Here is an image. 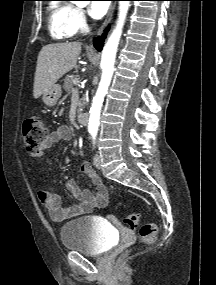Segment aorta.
<instances>
[{
    "instance_id": "762f6f07",
    "label": "aorta",
    "mask_w": 216,
    "mask_h": 285,
    "mask_svg": "<svg viewBox=\"0 0 216 285\" xmlns=\"http://www.w3.org/2000/svg\"><path fill=\"white\" fill-rule=\"evenodd\" d=\"M76 3L84 4L85 2L77 1ZM129 7L130 1L119 2V13L116 27L108 38V41L106 42L102 51V76L96 95L93 98L88 125V131L92 135H95L98 131L101 107L113 75L117 48L122 35V29L126 20Z\"/></svg>"
}]
</instances>
